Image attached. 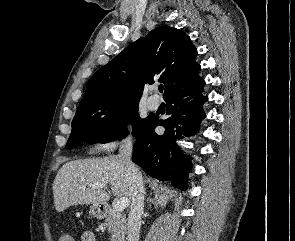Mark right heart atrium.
<instances>
[{"instance_id": "obj_1", "label": "right heart atrium", "mask_w": 295, "mask_h": 241, "mask_svg": "<svg viewBox=\"0 0 295 241\" xmlns=\"http://www.w3.org/2000/svg\"><path fill=\"white\" fill-rule=\"evenodd\" d=\"M117 130H120L121 127L118 125L116 127ZM116 141L114 137V131H112L109 136L105 139H103L101 142L98 144V148L101 151H110L115 147Z\"/></svg>"}]
</instances>
